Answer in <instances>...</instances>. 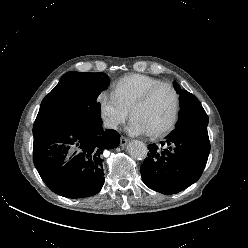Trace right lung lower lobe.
I'll return each mask as SVG.
<instances>
[{"label": "right lung lower lobe", "instance_id": "right-lung-lower-lobe-1", "mask_svg": "<svg viewBox=\"0 0 248 248\" xmlns=\"http://www.w3.org/2000/svg\"><path fill=\"white\" fill-rule=\"evenodd\" d=\"M33 136V162L39 175L54 193L68 198L101 190L105 180L101 155L118 147L120 140L115 130L104 131L102 122L92 121L34 123Z\"/></svg>", "mask_w": 248, "mask_h": 248}]
</instances>
